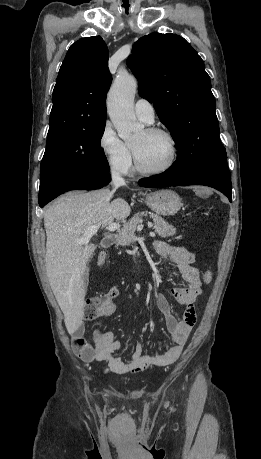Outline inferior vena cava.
<instances>
[{
  "mask_svg": "<svg viewBox=\"0 0 261 459\" xmlns=\"http://www.w3.org/2000/svg\"><path fill=\"white\" fill-rule=\"evenodd\" d=\"M112 183L115 189L125 185V180L121 177L117 170L112 171Z\"/></svg>",
  "mask_w": 261,
  "mask_h": 459,
  "instance_id": "obj_1",
  "label": "inferior vena cava"
}]
</instances>
